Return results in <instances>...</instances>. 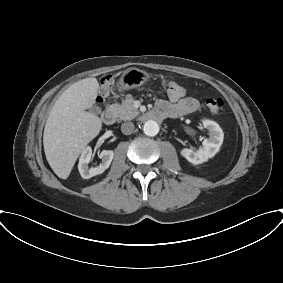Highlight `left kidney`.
<instances>
[{
  "label": "left kidney",
  "instance_id": "5707ae66",
  "mask_svg": "<svg viewBox=\"0 0 283 283\" xmlns=\"http://www.w3.org/2000/svg\"><path fill=\"white\" fill-rule=\"evenodd\" d=\"M203 126L209 131V138L202 142L203 147L197 151L189 148L181 150V155L194 165L202 164L215 156L222 145L224 134L220 126L211 120H203Z\"/></svg>",
  "mask_w": 283,
  "mask_h": 283
}]
</instances>
